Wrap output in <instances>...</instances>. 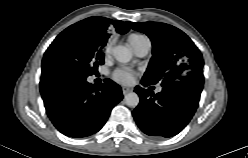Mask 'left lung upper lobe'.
<instances>
[{"label":"left lung upper lobe","mask_w":248,"mask_h":158,"mask_svg":"<svg viewBox=\"0 0 248 158\" xmlns=\"http://www.w3.org/2000/svg\"><path fill=\"white\" fill-rule=\"evenodd\" d=\"M128 25L148 35L153 45V57L142 78L149 84L161 82L167 87L178 81L203 83V56L193 41L178 28L159 22Z\"/></svg>","instance_id":"5c2ea615"}]
</instances>
